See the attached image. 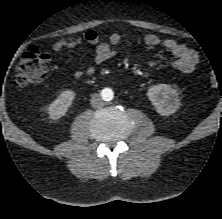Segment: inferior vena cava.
Instances as JSON below:
<instances>
[{
    "instance_id": "inferior-vena-cava-1",
    "label": "inferior vena cava",
    "mask_w": 222,
    "mask_h": 219,
    "mask_svg": "<svg viewBox=\"0 0 222 219\" xmlns=\"http://www.w3.org/2000/svg\"><path fill=\"white\" fill-rule=\"evenodd\" d=\"M91 105L93 108H101L104 105V102L99 94H93L91 98Z\"/></svg>"
}]
</instances>
